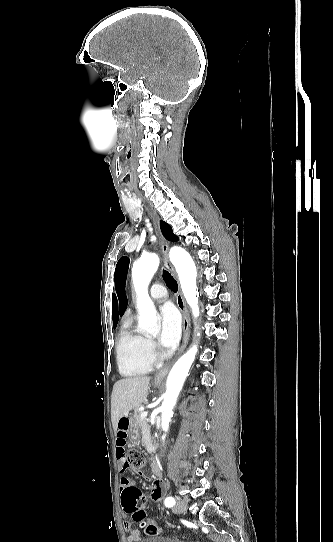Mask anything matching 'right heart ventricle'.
I'll return each instance as SVG.
<instances>
[{"label":"right heart ventricle","mask_w":333,"mask_h":542,"mask_svg":"<svg viewBox=\"0 0 333 542\" xmlns=\"http://www.w3.org/2000/svg\"><path fill=\"white\" fill-rule=\"evenodd\" d=\"M116 352L119 371L127 377L148 373L155 363L149 353L148 338L136 326H127L119 332Z\"/></svg>","instance_id":"1"}]
</instances>
